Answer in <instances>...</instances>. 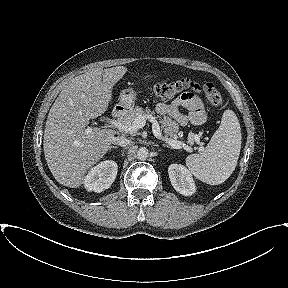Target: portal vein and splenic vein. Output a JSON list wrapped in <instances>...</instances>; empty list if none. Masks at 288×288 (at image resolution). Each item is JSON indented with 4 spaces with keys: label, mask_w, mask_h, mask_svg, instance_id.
<instances>
[{
    "label": "portal vein and splenic vein",
    "mask_w": 288,
    "mask_h": 288,
    "mask_svg": "<svg viewBox=\"0 0 288 288\" xmlns=\"http://www.w3.org/2000/svg\"><path fill=\"white\" fill-rule=\"evenodd\" d=\"M149 119L150 122H152V131L153 134L156 138L162 140V141H166L173 149H187L188 151H191V148L186 145L184 142L182 141H177V140H170L166 137H164L160 131V126L158 124V122L155 120V117H153L152 115H139L132 124L130 125H126L121 123L120 121L117 120H112L109 119L107 121L108 124L115 126L116 128H118L120 131H125V132H135L138 129L143 128L146 125V120ZM203 147L199 148V151H202Z\"/></svg>",
    "instance_id": "18ae733b"
}]
</instances>
